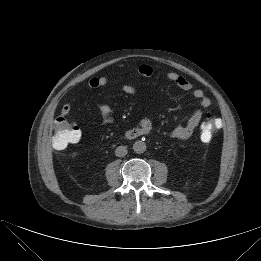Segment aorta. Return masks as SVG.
Wrapping results in <instances>:
<instances>
[{
	"label": "aorta",
	"instance_id": "762f6f07",
	"mask_svg": "<svg viewBox=\"0 0 261 261\" xmlns=\"http://www.w3.org/2000/svg\"><path fill=\"white\" fill-rule=\"evenodd\" d=\"M133 150L139 154L144 153L146 151V144L143 141H136L133 144Z\"/></svg>",
	"mask_w": 261,
	"mask_h": 261
}]
</instances>
